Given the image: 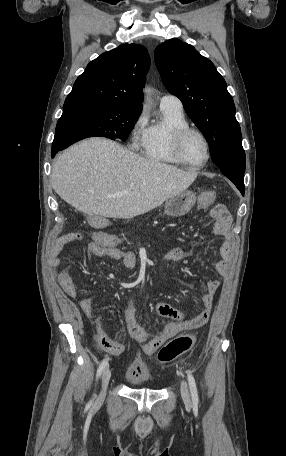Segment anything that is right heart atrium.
I'll return each mask as SVG.
<instances>
[{
	"label": "right heart atrium",
	"mask_w": 286,
	"mask_h": 456,
	"mask_svg": "<svg viewBox=\"0 0 286 456\" xmlns=\"http://www.w3.org/2000/svg\"><path fill=\"white\" fill-rule=\"evenodd\" d=\"M146 128V113L142 111L134 121L131 138L133 145H138L143 137Z\"/></svg>",
	"instance_id": "d8ad5b80"
}]
</instances>
